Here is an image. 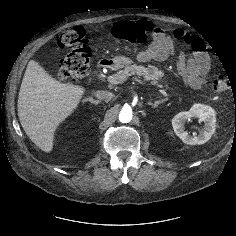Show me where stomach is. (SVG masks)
<instances>
[{"instance_id":"1","label":"stomach","mask_w":236,"mask_h":236,"mask_svg":"<svg viewBox=\"0 0 236 236\" xmlns=\"http://www.w3.org/2000/svg\"><path fill=\"white\" fill-rule=\"evenodd\" d=\"M112 62L115 68H123L133 63V61L126 56H115Z\"/></svg>"}]
</instances>
